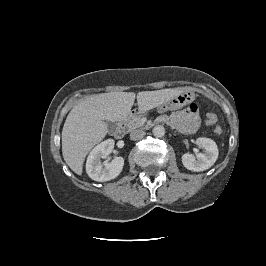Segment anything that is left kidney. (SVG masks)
<instances>
[{
    "instance_id": "5707ae66",
    "label": "left kidney",
    "mask_w": 266,
    "mask_h": 266,
    "mask_svg": "<svg viewBox=\"0 0 266 266\" xmlns=\"http://www.w3.org/2000/svg\"><path fill=\"white\" fill-rule=\"evenodd\" d=\"M196 144L204 149V153H198L196 157L185 153L182 156V163L185 168L194 172H200L209 169L218 158L217 144L209 138H198Z\"/></svg>"
}]
</instances>
